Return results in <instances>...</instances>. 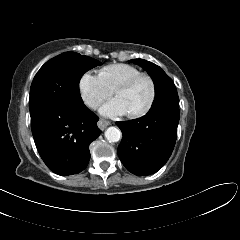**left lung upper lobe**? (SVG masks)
<instances>
[{
	"instance_id": "obj_1",
	"label": "left lung upper lobe",
	"mask_w": 240,
	"mask_h": 240,
	"mask_svg": "<svg viewBox=\"0 0 240 240\" xmlns=\"http://www.w3.org/2000/svg\"><path fill=\"white\" fill-rule=\"evenodd\" d=\"M131 61L143 67L154 82L155 99L151 109L163 105L179 107V97L176 87L172 79L163 71V69L156 64L143 59H134Z\"/></svg>"
}]
</instances>
